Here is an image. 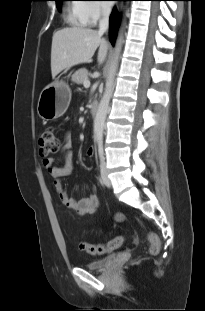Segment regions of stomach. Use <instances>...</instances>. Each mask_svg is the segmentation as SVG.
<instances>
[{
    "mask_svg": "<svg viewBox=\"0 0 205 311\" xmlns=\"http://www.w3.org/2000/svg\"><path fill=\"white\" fill-rule=\"evenodd\" d=\"M70 98L69 87L56 79L42 90L37 105L38 115L47 121L61 117L69 106Z\"/></svg>",
    "mask_w": 205,
    "mask_h": 311,
    "instance_id": "0dacf381",
    "label": "stomach"
}]
</instances>
